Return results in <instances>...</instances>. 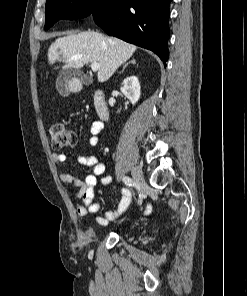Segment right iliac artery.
<instances>
[{
	"label": "right iliac artery",
	"mask_w": 247,
	"mask_h": 296,
	"mask_svg": "<svg viewBox=\"0 0 247 296\" xmlns=\"http://www.w3.org/2000/svg\"><path fill=\"white\" fill-rule=\"evenodd\" d=\"M123 182L128 186H134V181L128 176L123 177Z\"/></svg>",
	"instance_id": "82829eb1"
}]
</instances>
